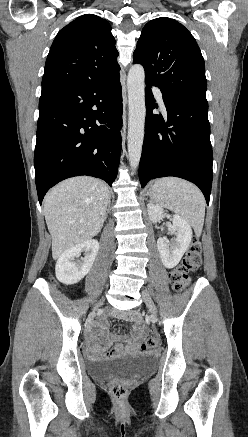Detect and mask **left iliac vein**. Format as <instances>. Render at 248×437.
Masks as SVG:
<instances>
[{"label":"left iliac vein","mask_w":248,"mask_h":437,"mask_svg":"<svg viewBox=\"0 0 248 437\" xmlns=\"http://www.w3.org/2000/svg\"><path fill=\"white\" fill-rule=\"evenodd\" d=\"M142 298H143L144 302L146 303L147 307L149 308V310L152 314V318H155L156 308H155L154 302H153L150 294L147 291L143 290L142 291Z\"/></svg>","instance_id":"4c4485c4"}]
</instances>
